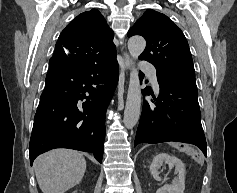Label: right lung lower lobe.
I'll list each match as a JSON object with an SVG mask.
<instances>
[{
	"instance_id": "obj_1",
	"label": "right lung lower lobe",
	"mask_w": 237,
	"mask_h": 193,
	"mask_svg": "<svg viewBox=\"0 0 237 193\" xmlns=\"http://www.w3.org/2000/svg\"><path fill=\"white\" fill-rule=\"evenodd\" d=\"M117 81L116 58L83 69L49 62L29 144L31 165L54 148L91 152L101 163L106 110Z\"/></svg>"
}]
</instances>
